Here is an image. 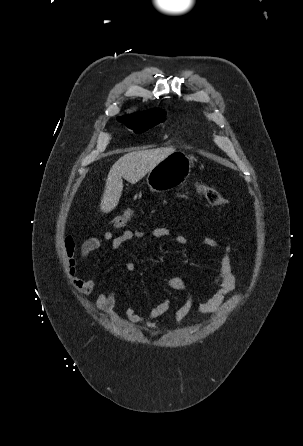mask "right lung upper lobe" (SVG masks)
<instances>
[{
    "instance_id": "1",
    "label": "right lung upper lobe",
    "mask_w": 303,
    "mask_h": 446,
    "mask_svg": "<svg viewBox=\"0 0 303 446\" xmlns=\"http://www.w3.org/2000/svg\"><path fill=\"white\" fill-rule=\"evenodd\" d=\"M158 110H160V109H158ZM154 111H157V110H152V111L143 112V113H135V114H132V115H129V116H141V115H146V114L153 113Z\"/></svg>"
}]
</instances>
